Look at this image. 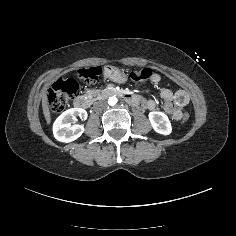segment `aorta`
<instances>
[{"label": "aorta", "instance_id": "aorta-1", "mask_svg": "<svg viewBox=\"0 0 236 236\" xmlns=\"http://www.w3.org/2000/svg\"><path fill=\"white\" fill-rule=\"evenodd\" d=\"M117 103V98L116 97H110L108 99V105L114 106Z\"/></svg>", "mask_w": 236, "mask_h": 236}]
</instances>
